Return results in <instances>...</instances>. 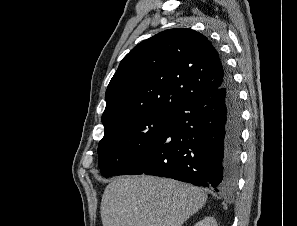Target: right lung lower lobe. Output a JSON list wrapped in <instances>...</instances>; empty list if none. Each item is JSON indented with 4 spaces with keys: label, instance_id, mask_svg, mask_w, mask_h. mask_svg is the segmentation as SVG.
Listing matches in <instances>:
<instances>
[{
    "label": "right lung lower lobe",
    "instance_id": "obj_1",
    "mask_svg": "<svg viewBox=\"0 0 297 226\" xmlns=\"http://www.w3.org/2000/svg\"><path fill=\"white\" fill-rule=\"evenodd\" d=\"M223 85L183 102L172 123L117 175L150 174L215 191L232 190L239 172L242 108L226 67Z\"/></svg>",
    "mask_w": 297,
    "mask_h": 226
}]
</instances>
